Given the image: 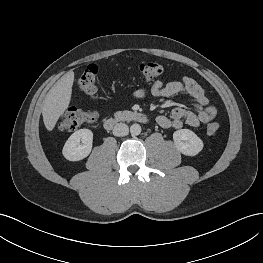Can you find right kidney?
Wrapping results in <instances>:
<instances>
[{"instance_id":"right-kidney-1","label":"right kidney","mask_w":263,"mask_h":263,"mask_svg":"<svg viewBox=\"0 0 263 263\" xmlns=\"http://www.w3.org/2000/svg\"><path fill=\"white\" fill-rule=\"evenodd\" d=\"M92 142V131L89 129H80L74 132L66 141L62 150L63 156L69 161L82 160L90 154Z\"/></svg>"}]
</instances>
